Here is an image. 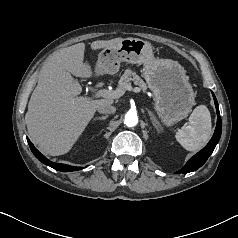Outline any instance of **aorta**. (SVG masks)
<instances>
[{"label":"aorta","instance_id":"obj_1","mask_svg":"<svg viewBox=\"0 0 238 238\" xmlns=\"http://www.w3.org/2000/svg\"><path fill=\"white\" fill-rule=\"evenodd\" d=\"M124 123H125L126 126H128V127H134V126H136L137 123H138L137 113L134 112V111H128V112L125 114Z\"/></svg>","mask_w":238,"mask_h":238}]
</instances>
